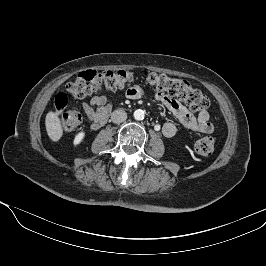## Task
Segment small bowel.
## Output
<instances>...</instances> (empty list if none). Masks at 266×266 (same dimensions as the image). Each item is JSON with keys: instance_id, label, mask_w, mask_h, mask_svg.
Returning <instances> with one entry per match:
<instances>
[{"instance_id": "1", "label": "small bowel", "mask_w": 266, "mask_h": 266, "mask_svg": "<svg viewBox=\"0 0 266 266\" xmlns=\"http://www.w3.org/2000/svg\"><path fill=\"white\" fill-rule=\"evenodd\" d=\"M143 95V91L138 86H130L125 91V96L129 99H138ZM155 97L173 113L178 121L188 130L203 134H210L214 127L210 122L207 111L200 112L197 117L191 114L188 109L179 101L171 98L165 93L156 92ZM82 109L92 129H97L103 125L108 117L110 105L104 95L94 96L89 103H83ZM177 127L172 122H166L162 126V133L165 137L175 136Z\"/></svg>"}]
</instances>
